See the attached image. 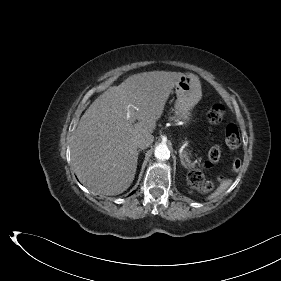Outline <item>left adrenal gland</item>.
Instances as JSON below:
<instances>
[{"instance_id": "left-adrenal-gland-1", "label": "left adrenal gland", "mask_w": 281, "mask_h": 281, "mask_svg": "<svg viewBox=\"0 0 281 281\" xmlns=\"http://www.w3.org/2000/svg\"><path fill=\"white\" fill-rule=\"evenodd\" d=\"M182 162V165H184L185 166V164H184V162L183 161H181ZM186 167V166H185Z\"/></svg>"}]
</instances>
